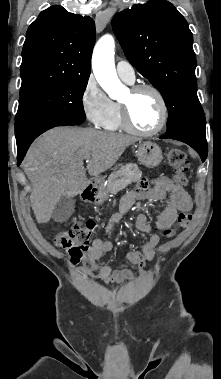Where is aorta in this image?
<instances>
[{"label":"aorta","instance_id":"obj_1","mask_svg":"<svg viewBox=\"0 0 221 379\" xmlns=\"http://www.w3.org/2000/svg\"><path fill=\"white\" fill-rule=\"evenodd\" d=\"M114 50L113 37L105 35L95 45L92 56V69L96 80L111 98H117L124 88L115 70Z\"/></svg>","mask_w":221,"mask_h":379}]
</instances>
